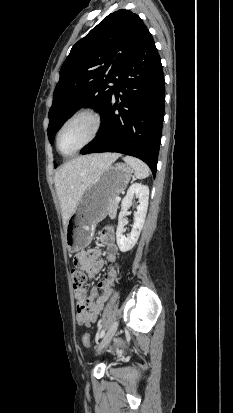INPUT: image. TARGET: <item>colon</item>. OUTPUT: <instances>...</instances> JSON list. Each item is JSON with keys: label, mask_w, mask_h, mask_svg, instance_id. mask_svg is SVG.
I'll use <instances>...</instances> for the list:
<instances>
[{"label": "colon", "mask_w": 233, "mask_h": 413, "mask_svg": "<svg viewBox=\"0 0 233 413\" xmlns=\"http://www.w3.org/2000/svg\"><path fill=\"white\" fill-rule=\"evenodd\" d=\"M76 265V264H75ZM87 277L86 274L80 270V268L76 265V268L72 269V282L73 287L75 290H80L86 283ZM82 343L86 348L91 347V335L89 333H85L82 337ZM119 346H123V343H119Z\"/></svg>", "instance_id": "colon-1"}]
</instances>
